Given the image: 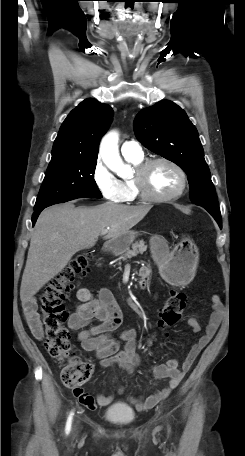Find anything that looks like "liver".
<instances>
[{
    "label": "liver",
    "mask_w": 245,
    "mask_h": 456,
    "mask_svg": "<svg viewBox=\"0 0 245 456\" xmlns=\"http://www.w3.org/2000/svg\"><path fill=\"white\" fill-rule=\"evenodd\" d=\"M151 205L127 206L106 202L95 207L72 203L46 208L40 214L31 237L23 272L20 298L30 300L60 273L73 255L93 247L104 229L105 239L130 231L150 211Z\"/></svg>",
    "instance_id": "liver-1"
}]
</instances>
